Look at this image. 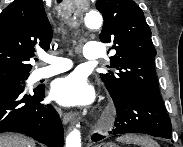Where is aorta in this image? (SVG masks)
Here are the masks:
<instances>
[{
	"instance_id": "762f6f07",
	"label": "aorta",
	"mask_w": 183,
	"mask_h": 147,
	"mask_svg": "<svg viewBox=\"0 0 183 147\" xmlns=\"http://www.w3.org/2000/svg\"><path fill=\"white\" fill-rule=\"evenodd\" d=\"M103 22L102 16L99 12H88L84 16V24L89 29H98ZM77 128L79 125L76 126ZM74 128L66 138V147H81L80 131Z\"/></svg>"
}]
</instances>
